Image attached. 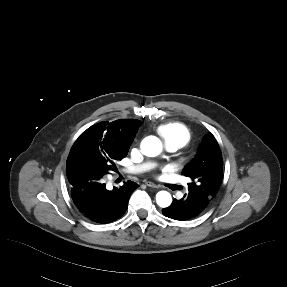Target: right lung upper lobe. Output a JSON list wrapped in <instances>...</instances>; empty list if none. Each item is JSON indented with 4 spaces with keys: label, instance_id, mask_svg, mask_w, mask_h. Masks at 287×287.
<instances>
[{
    "label": "right lung upper lobe",
    "instance_id": "1",
    "mask_svg": "<svg viewBox=\"0 0 287 287\" xmlns=\"http://www.w3.org/2000/svg\"><path fill=\"white\" fill-rule=\"evenodd\" d=\"M140 125L141 121L136 119L105 121L91 126L80 136L100 146L127 154Z\"/></svg>",
    "mask_w": 287,
    "mask_h": 287
}]
</instances>
